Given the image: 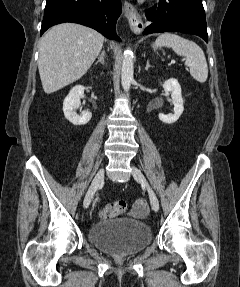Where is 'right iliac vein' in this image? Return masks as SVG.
Masks as SVG:
<instances>
[{
  "label": "right iliac vein",
  "mask_w": 240,
  "mask_h": 287,
  "mask_svg": "<svg viewBox=\"0 0 240 287\" xmlns=\"http://www.w3.org/2000/svg\"><path fill=\"white\" fill-rule=\"evenodd\" d=\"M104 180V168H101L97 174L95 175L86 195L83 201V206L84 208H88L92 198L95 194V192L97 191V189L99 188V186L103 183Z\"/></svg>",
  "instance_id": "1"
}]
</instances>
